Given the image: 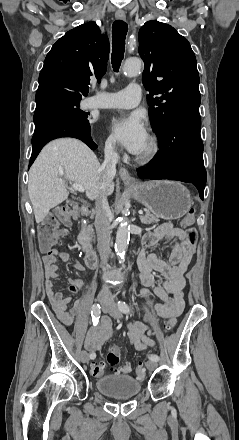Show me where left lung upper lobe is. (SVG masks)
Masks as SVG:
<instances>
[{"label":"left lung upper lobe","mask_w":239,"mask_h":440,"mask_svg":"<svg viewBox=\"0 0 239 440\" xmlns=\"http://www.w3.org/2000/svg\"><path fill=\"white\" fill-rule=\"evenodd\" d=\"M138 36L154 131L159 133L175 117L199 115V73L188 40L172 26L154 20L146 22Z\"/></svg>","instance_id":"1"}]
</instances>
